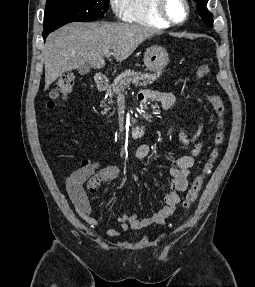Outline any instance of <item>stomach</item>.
<instances>
[{"instance_id": "1", "label": "stomach", "mask_w": 255, "mask_h": 287, "mask_svg": "<svg viewBox=\"0 0 255 287\" xmlns=\"http://www.w3.org/2000/svg\"><path fill=\"white\" fill-rule=\"evenodd\" d=\"M169 62L168 52L163 46H150L144 54V64L150 72H160Z\"/></svg>"}]
</instances>
